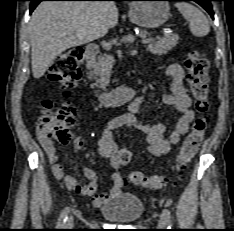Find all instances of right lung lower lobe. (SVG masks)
<instances>
[{
	"label": "right lung lower lobe",
	"instance_id": "1",
	"mask_svg": "<svg viewBox=\"0 0 234 231\" xmlns=\"http://www.w3.org/2000/svg\"><path fill=\"white\" fill-rule=\"evenodd\" d=\"M31 1L30 5V13L36 8V6L41 2V1H85V0H29ZM88 1H94V0H88ZM114 1H119V0H114Z\"/></svg>",
	"mask_w": 234,
	"mask_h": 231
}]
</instances>
